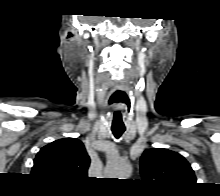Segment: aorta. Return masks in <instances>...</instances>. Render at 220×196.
<instances>
[{
  "label": "aorta",
  "mask_w": 220,
  "mask_h": 196,
  "mask_svg": "<svg viewBox=\"0 0 220 196\" xmlns=\"http://www.w3.org/2000/svg\"><path fill=\"white\" fill-rule=\"evenodd\" d=\"M131 174V165L124 160L110 161L106 167V176L127 179Z\"/></svg>",
  "instance_id": "aorta-1"
}]
</instances>
